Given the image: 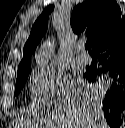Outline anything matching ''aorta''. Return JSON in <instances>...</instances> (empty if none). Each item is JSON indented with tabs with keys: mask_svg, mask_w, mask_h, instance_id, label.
I'll use <instances>...</instances> for the list:
<instances>
[{
	"mask_svg": "<svg viewBox=\"0 0 125 128\" xmlns=\"http://www.w3.org/2000/svg\"><path fill=\"white\" fill-rule=\"evenodd\" d=\"M50 47H51L50 42H49V41H46V42L43 44L42 49H43V51H45V50L47 51Z\"/></svg>",
	"mask_w": 125,
	"mask_h": 128,
	"instance_id": "obj_1",
	"label": "aorta"
}]
</instances>
